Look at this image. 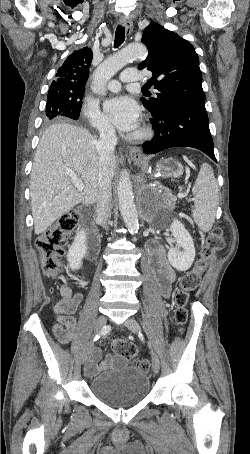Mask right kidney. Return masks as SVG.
Here are the masks:
<instances>
[{
	"instance_id": "obj_1",
	"label": "right kidney",
	"mask_w": 250,
	"mask_h": 454,
	"mask_svg": "<svg viewBox=\"0 0 250 454\" xmlns=\"http://www.w3.org/2000/svg\"><path fill=\"white\" fill-rule=\"evenodd\" d=\"M87 253L86 234L80 231L70 246L67 254L68 267L72 270H79L82 267V259Z\"/></svg>"
}]
</instances>
